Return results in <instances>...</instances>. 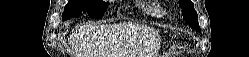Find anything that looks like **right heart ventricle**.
<instances>
[{
  "label": "right heart ventricle",
  "instance_id": "obj_1",
  "mask_svg": "<svg viewBox=\"0 0 249 57\" xmlns=\"http://www.w3.org/2000/svg\"><path fill=\"white\" fill-rule=\"evenodd\" d=\"M150 4L143 6V10L146 14L153 18H164L166 13L165 10L159 6L155 1H149Z\"/></svg>",
  "mask_w": 249,
  "mask_h": 57
}]
</instances>
